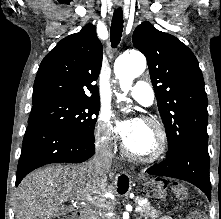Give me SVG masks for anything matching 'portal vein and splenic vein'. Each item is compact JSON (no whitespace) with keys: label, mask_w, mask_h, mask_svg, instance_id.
<instances>
[{"label":"portal vein and splenic vein","mask_w":221,"mask_h":219,"mask_svg":"<svg viewBox=\"0 0 221 219\" xmlns=\"http://www.w3.org/2000/svg\"><path fill=\"white\" fill-rule=\"evenodd\" d=\"M87 199L90 200L89 197H88ZM77 203H78V202H77ZM80 204H85V200H84V199L80 200ZM139 210H140L139 207H136V208H135V212H138Z\"/></svg>","instance_id":"1"}]
</instances>
